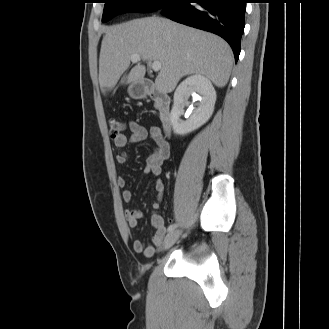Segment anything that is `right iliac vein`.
Here are the masks:
<instances>
[{"label": "right iliac vein", "instance_id": "1", "mask_svg": "<svg viewBox=\"0 0 329 329\" xmlns=\"http://www.w3.org/2000/svg\"><path fill=\"white\" fill-rule=\"evenodd\" d=\"M179 236H180V231L179 230H175V231L170 232L164 240L163 248L164 249H169L178 240Z\"/></svg>", "mask_w": 329, "mask_h": 329}]
</instances>
